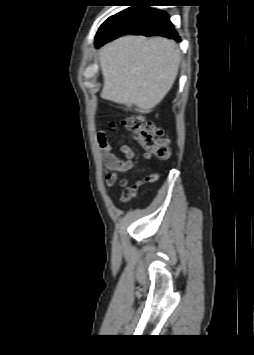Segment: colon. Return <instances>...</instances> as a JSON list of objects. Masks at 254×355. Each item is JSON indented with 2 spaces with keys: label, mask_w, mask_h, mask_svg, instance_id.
I'll return each instance as SVG.
<instances>
[{
  "label": "colon",
  "mask_w": 254,
  "mask_h": 355,
  "mask_svg": "<svg viewBox=\"0 0 254 355\" xmlns=\"http://www.w3.org/2000/svg\"><path fill=\"white\" fill-rule=\"evenodd\" d=\"M123 125L130 131L132 138L143 147L146 157L160 160H168L171 157L169 140L154 123L139 116H129L123 121ZM131 193L134 194V191Z\"/></svg>",
  "instance_id": "obj_1"
}]
</instances>
